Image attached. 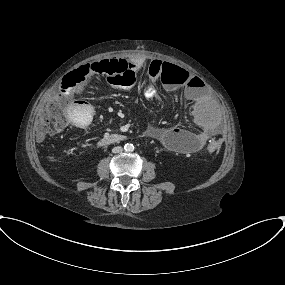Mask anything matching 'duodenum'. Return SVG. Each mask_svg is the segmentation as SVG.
<instances>
[{
	"label": "duodenum",
	"mask_w": 285,
	"mask_h": 285,
	"mask_svg": "<svg viewBox=\"0 0 285 285\" xmlns=\"http://www.w3.org/2000/svg\"><path fill=\"white\" fill-rule=\"evenodd\" d=\"M126 137L120 134H110L103 139L99 141L100 145H103L105 143H114V142H120V141H125Z\"/></svg>",
	"instance_id": "duodenum-1"
}]
</instances>
